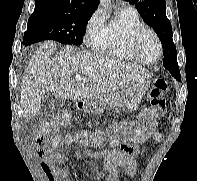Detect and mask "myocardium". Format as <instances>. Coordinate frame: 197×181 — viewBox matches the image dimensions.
<instances>
[{"mask_svg": "<svg viewBox=\"0 0 197 181\" xmlns=\"http://www.w3.org/2000/svg\"><path fill=\"white\" fill-rule=\"evenodd\" d=\"M145 34H150L155 39V41L158 45L159 53H158V56L155 60L145 59L140 51L139 42H140L142 36ZM130 49L133 52V54L136 56V58L144 64L157 63L161 59L162 54H163V47H162V43H161V40H160L158 34L153 29H151L150 27L145 26V25L137 28L132 33V35L130 37Z\"/></svg>", "mask_w": 197, "mask_h": 181, "instance_id": "myocardium-1", "label": "myocardium"}]
</instances>
